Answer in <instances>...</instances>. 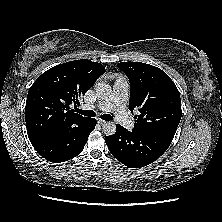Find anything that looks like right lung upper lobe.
Segmentation results:
<instances>
[{
  "mask_svg": "<svg viewBox=\"0 0 222 222\" xmlns=\"http://www.w3.org/2000/svg\"><path fill=\"white\" fill-rule=\"evenodd\" d=\"M104 72L102 64L82 59L57 65L39 76L29 89L25 106L30 142L85 123L89 118L75 113L71 104L76 108Z\"/></svg>",
  "mask_w": 222,
  "mask_h": 222,
  "instance_id": "1",
  "label": "right lung upper lobe"
}]
</instances>
